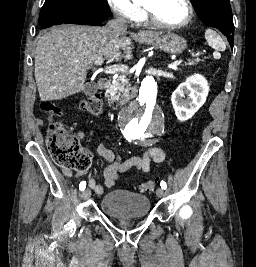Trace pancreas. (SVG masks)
<instances>
[{
	"label": "pancreas",
	"mask_w": 256,
	"mask_h": 267,
	"mask_svg": "<svg viewBox=\"0 0 256 267\" xmlns=\"http://www.w3.org/2000/svg\"><path fill=\"white\" fill-rule=\"evenodd\" d=\"M196 62H204V60L188 62V64H185V66H195ZM108 94L110 100H107V102H109V104H111V102H118V104H121L122 106V104H127V102L133 98V96H136L137 92L136 90H133V88H129L128 80H126V82H122L121 78H118L115 84H110L108 88Z\"/></svg>",
	"instance_id": "pancreas-1"
}]
</instances>
